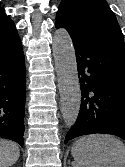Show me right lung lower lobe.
Wrapping results in <instances>:
<instances>
[{
	"mask_svg": "<svg viewBox=\"0 0 125 167\" xmlns=\"http://www.w3.org/2000/svg\"><path fill=\"white\" fill-rule=\"evenodd\" d=\"M25 59L16 28L0 32V137L23 145Z\"/></svg>",
	"mask_w": 125,
	"mask_h": 167,
	"instance_id": "obj_1",
	"label": "right lung lower lobe"
}]
</instances>
